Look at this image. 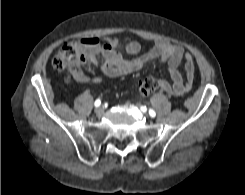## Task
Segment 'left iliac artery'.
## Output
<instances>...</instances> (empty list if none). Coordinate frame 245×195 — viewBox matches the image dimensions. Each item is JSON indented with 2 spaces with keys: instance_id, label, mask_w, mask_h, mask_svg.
<instances>
[{
  "instance_id": "left-iliac-artery-1",
  "label": "left iliac artery",
  "mask_w": 245,
  "mask_h": 195,
  "mask_svg": "<svg viewBox=\"0 0 245 195\" xmlns=\"http://www.w3.org/2000/svg\"><path fill=\"white\" fill-rule=\"evenodd\" d=\"M149 114H150L151 117H155L156 116V113H155V111L153 109H149Z\"/></svg>"
}]
</instances>
